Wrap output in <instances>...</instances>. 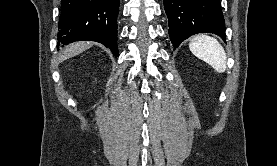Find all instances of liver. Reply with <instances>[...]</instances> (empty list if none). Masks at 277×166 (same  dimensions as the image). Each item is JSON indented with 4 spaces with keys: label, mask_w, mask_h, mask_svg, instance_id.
I'll return each mask as SVG.
<instances>
[{
    "label": "liver",
    "mask_w": 277,
    "mask_h": 166,
    "mask_svg": "<svg viewBox=\"0 0 277 166\" xmlns=\"http://www.w3.org/2000/svg\"><path fill=\"white\" fill-rule=\"evenodd\" d=\"M91 43L89 42H76L69 46H67L63 53L61 54L59 61H64L66 59H69L71 57H74L83 51L89 49L91 47Z\"/></svg>",
    "instance_id": "obj_1"
}]
</instances>
